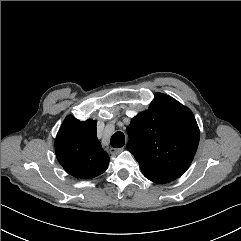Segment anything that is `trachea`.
<instances>
[{
  "mask_svg": "<svg viewBox=\"0 0 241 241\" xmlns=\"http://www.w3.org/2000/svg\"><path fill=\"white\" fill-rule=\"evenodd\" d=\"M125 144V136L122 132H116L111 137V146L114 148H121Z\"/></svg>",
  "mask_w": 241,
  "mask_h": 241,
  "instance_id": "trachea-1",
  "label": "trachea"
}]
</instances>
